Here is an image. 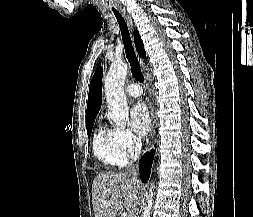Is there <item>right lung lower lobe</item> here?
Instances as JSON below:
<instances>
[{"mask_svg": "<svg viewBox=\"0 0 253 217\" xmlns=\"http://www.w3.org/2000/svg\"><path fill=\"white\" fill-rule=\"evenodd\" d=\"M154 151L146 153L140 161V178L143 182H147L150 177L151 166L153 162Z\"/></svg>", "mask_w": 253, "mask_h": 217, "instance_id": "obj_1", "label": "right lung lower lobe"}]
</instances>
